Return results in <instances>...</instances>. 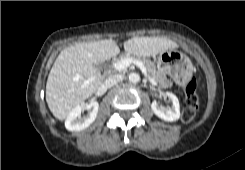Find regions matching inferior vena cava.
<instances>
[{
    "label": "inferior vena cava",
    "instance_id": "inferior-vena-cava-1",
    "mask_svg": "<svg viewBox=\"0 0 245 170\" xmlns=\"http://www.w3.org/2000/svg\"><path fill=\"white\" fill-rule=\"evenodd\" d=\"M123 79L124 76L121 74L111 75L105 80L104 84L106 87L110 88L116 85L117 83L121 82Z\"/></svg>",
    "mask_w": 245,
    "mask_h": 170
}]
</instances>
